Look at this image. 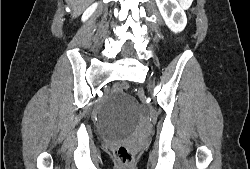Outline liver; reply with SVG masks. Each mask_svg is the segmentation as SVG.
I'll return each instance as SVG.
<instances>
[{"label": "liver", "instance_id": "liver-1", "mask_svg": "<svg viewBox=\"0 0 250 169\" xmlns=\"http://www.w3.org/2000/svg\"><path fill=\"white\" fill-rule=\"evenodd\" d=\"M66 2H68L72 8L73 18H76V16H79V14L85 10L86 6H88L92 0H66Z\"/></svg>", "mask_w": 250, "mask_h": 169}]
</instances>
